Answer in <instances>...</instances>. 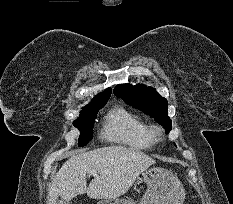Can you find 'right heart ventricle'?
Here are the masks:
<instances>
[{
    "mask_svg": "<svg viewBox=\"0 0 233 204\" xmlns=\"http://www.w3.org/2000/svg\"><path fill=\"white\" fill-rule=\"evenodd\" d=\"M101 136L108 142L135 150H148L155 143L147 123L123 107H114L107 113Z\"/></svg>",
    "mask_w": 233,
    "mask_h": 204,
    "instance_id": "right-heart-ventricle-1",
    "label": "right heart ventricle"
}]
</instances>
